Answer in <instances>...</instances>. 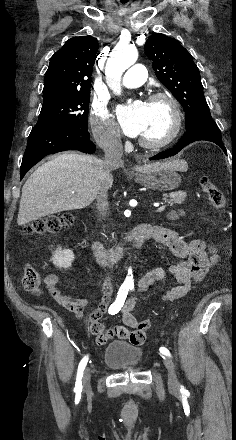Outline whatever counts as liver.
<instances>
[{
	"label": "liver",
	"instance_id": "liver-1",
	"mask_svg": "<svg viewBox=\"0 0 236 440\" xmlns=\"http://www.w3.org/2000/svg\"><path fill=\"white\" fill-rule=\"evenodd\" d=\"M180 161L136 167L149 172L160 167L178 168ZM113 176L97 157L63 153L38 167L22 188L17 223L19 226L62 211L89 206L102 188L110 189Z\"/></svg>",
	"mask_w": 236,
	"mask_h": 440
}]
</instances>
